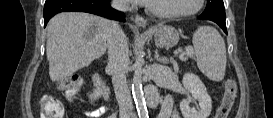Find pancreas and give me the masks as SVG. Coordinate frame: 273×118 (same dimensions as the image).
Returning a JSON list of instances; mask_svg holds the SVG:
<instances>
[{"mask_svg": "<svg viewBox=\"0 0 273 118\" xmlns=\"http://www.w3.org/2000/svg\"><path fill=\"white\" fill-rule=\"evenodd\" d=\"M186 49H189L188 51L186 50L185 54L188 56H193V49L191 47H187Z\"/></svg>", "mask_w": 273, "mask_h": 118, "instance_id": "pancreas-1", "label": "pancreas"}]
</instances>
